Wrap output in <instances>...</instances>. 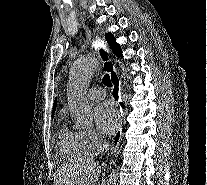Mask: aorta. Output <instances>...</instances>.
I'll return each mask as SVG.
<instances>
[{
	"label": "aorta",
	"mask_w": 207,
	"mask_h": 185,
	"mask_svg": "<svg viewBox=\"0 0 207 185\" xmlns=\"http://www.w3.org/2000/svg\"><path fill=\"white\" fill-rule=\"evenodd\" d=\"M99 62L94 57H87L74 62L69 73L67 85L68 102L74 116L75 125L79 128L92 126L94 113L86 97L87 89ZM122 74L125 77L126 69L121 65ZM118 167L113 169L107 185H118Z\"/></svg>",
	"instance_id": "762f6f07"
}]
</instances>
